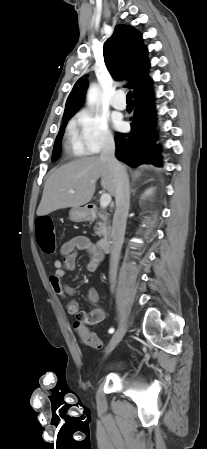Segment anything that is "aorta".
<instances>
[{"label": "aorta", "instance_id": "aorta-1", "mask_svg": "<svg viewBox=\"0 0 207 449\" xmlns=\"http://www.w3.org/2000/svg\"><path fill=\"white\" fill-rule=\"evenodd\" d=\"M98 88L96 85H91L88 92H87V104L88 106H93L98 101Z\"/></svg>", "mask_w": 207, "mask_h": 449}]
</instances>
